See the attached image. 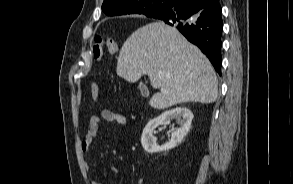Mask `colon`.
Returning a JSON list of instances; mask_svg holds the SVG:
<instances>
[{"label":"colon","instance_id":"1","mask_svg":"<svg viewBox=\"0 0 293 184\" xmlns=\"http://www.w3.org/2000/svg\"><path fill=\"white\" fill-rule=\"evenodd\" d=\"M110 54H116L118 52L117 43L110 38H104L102 36H96L92 43V56L96 63H100L105 52ZM99 95V85L96 81L92 82L91 86V98L96 100Z\"/></svg>","mask_w":293,"mask_h":184}]
</instances>
